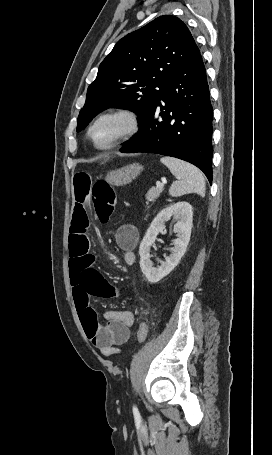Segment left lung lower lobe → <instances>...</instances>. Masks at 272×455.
Masks as SVG:
<instances>
[{
    "mask_svg": "<svg viewBox=\"0 0 272 455\" xmlns=\"http://www.w3.org/2000/svg\"><path fill=\"white\" fill-rule=\"evenodd\" d=\"M212 116L201 54L175 71L160 100L120 149L172 156L200 168L212 181Z\"/></svg>",
    "mask_w": 272,
    "mask_h": 455,
    "instance_id": "1",
    "label": "left lung lower lobe"
}]
</instances>
